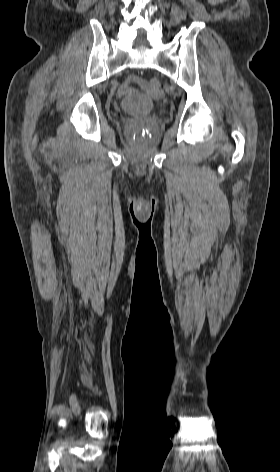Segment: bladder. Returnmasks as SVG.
Returning a JSON list of instances; mask_svg holds the SVG:
<instances>
[{
    "label": "bladder",
    "instance_id": "obj_1",
    "mask_svg": "<svg viewBox=\"0 0 280 472\" xmlns=\"http://www.w3.org/2000/svg\"><path fill=\"white\" fill-rule=\"evenodd\" d=\"M123 111L133 115H145L153 111L155 102L145 96L124 98L120 104Z\"/></svg>",
    "mask_w": 280,
    "mask_h": 472
}]
</instances>
